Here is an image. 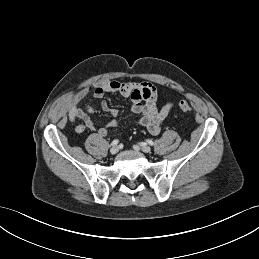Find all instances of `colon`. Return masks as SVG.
Returning <instances> with one entry per match:
<instances>
[{"label":"colon","instance_id":"obj_1","mask_svg":"<svg viewBox=\"0 0 259 259\" xmlns=\"http://www.w3.org/2000/svg\"><path fill=\"white\" fill-rule=\"evenodd\" d=\"M179 108H180L183 112H189V111H191V109H192L191 105H190L187 101H180V103H179Z\"/></svg>","mask_w":259,"mask_h":259}]
</instances>
